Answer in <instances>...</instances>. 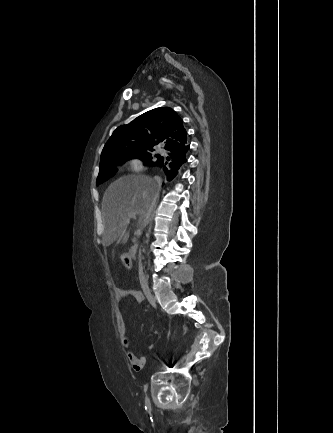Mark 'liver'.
<instances>
[{"label": "liver", "mask_w": 333, "mask_h": 433, "mask_svg": "<svg viewBox=\"0 0 333 433\" xmlns=\"http://www.w3.org/2000/svg\"><path fill=\"white\" fill-rule=\"evenodd\" d=\"M158 196L155 182L148 176L129 175L114 181L102 199L103 246H110L120 237L123 244L128 241L130 230L125 220L129 213H136L137 227L144 230L146 217L150 219Z\"/></svg>", "instance_id": "1"}]
</instances>
